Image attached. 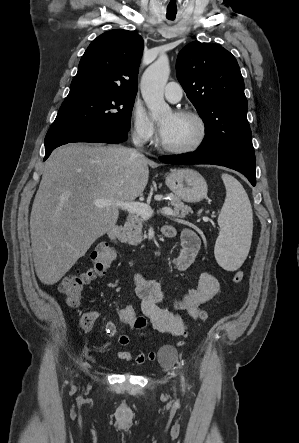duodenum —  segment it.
<instances>
[{"label":"duodenum","instance_id":"obj_1","mask_svg":"<svg viewBox=\"0 0 299 443\" xmlns=\"http://www.w3.org/2000/svg\"><path fill=\"white\" fill-rule=\"evenodd\" d=\"M108 237L113 243H118L120 237V227L113 224L108 229Z\"/></svg>","mask_w":299,"mask_h":443}]
</instances>
